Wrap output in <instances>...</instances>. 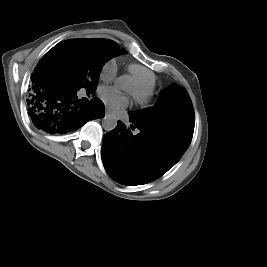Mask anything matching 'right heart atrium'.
<instances>
[{"mask_svg": "<svg viewBox=\"0 0 267 267\" xmlns=\"http://www.w3.org/2000/svg\"><path fill=\"white\" fill-rule=\"evenodd\" d=\"M104 74L106 76H113V70L111 69V63L105 66L104 68Z\"/></svg>", "mask_w": 267, "mask_h": 267, "instance_id": "obj_1", "label": "right heart atrium"}]
</instances>
